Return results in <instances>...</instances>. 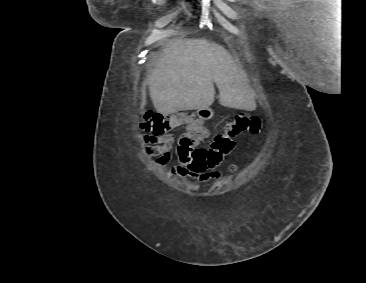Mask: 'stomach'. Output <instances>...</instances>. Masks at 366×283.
<instances>
[{
    "mask_svg": "<svg viewBox=\"0 0 366 283\" xmlns=\"http://www.w3.org/2000/svg\"><path fill=\"white\" fill-rule=\"evenodd\" d=\"M196 113H197L198 117L202 120H209L213 117V114H214L213 110L208 107L199 108Z\"/></svg>",
    "mask_w": 366,
    "mask_h": 283,
    "instance_id": "0dacf381",
    "label": "stomach"
}]
</instances>
